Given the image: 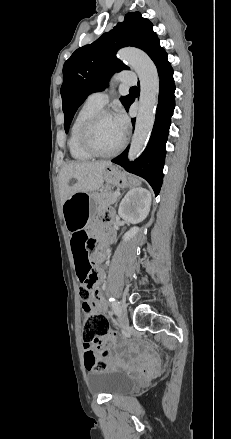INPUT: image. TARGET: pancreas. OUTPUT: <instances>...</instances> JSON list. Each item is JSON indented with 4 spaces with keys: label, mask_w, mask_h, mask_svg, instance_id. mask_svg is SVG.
Wrapping results in <instances>:
<instances>
[{
    "label": "pancreas",
    "mask_w": 231,
    "mask_h": 439,
    "mask_svg": "<svg viewBox=\"0 0 231 439\" xmlns=\"http://www.w3.org/2000/svg\"><path fill=\"white\" fill-rule=\"evenodd\" d=\"M114 193L115 192L109 188L96 195L95 200L99 208H105L106 206L115 203L117 197L114 195Z\"/></svg>",
    "instance_id": "1"
}]
</instances>
